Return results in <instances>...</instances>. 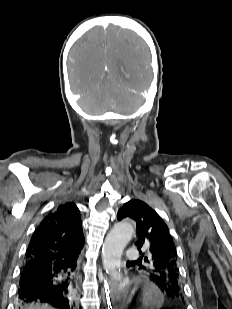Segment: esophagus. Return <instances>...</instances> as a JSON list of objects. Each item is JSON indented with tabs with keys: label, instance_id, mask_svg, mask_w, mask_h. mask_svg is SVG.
I'll return each instance as SVG.
<instances>
[{
	"label": "esophagus",
	"instance_id": "obj_1",
	"mask_svg": "<svg viewBox=\"0 0 232 309\" xmlns=\"http://www.w3.org/2000/svg\"><path fill=\"white\" fill-rule=\"evenodd\" d=\"M115 288V284L110 279H104V285L102 287V296L103 303L108 309L113 308V304L111 302L112 291Z\"/></svg>",
	"mask_w": 232,
	"mask_h": 309
}]
</instances>
